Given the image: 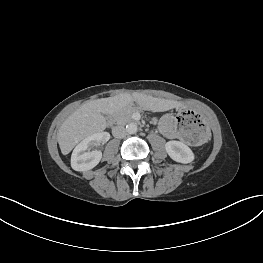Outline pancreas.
<instances>
[{
    "label": "pancreas",
    "mask_w": 263,
    "mask_h": 263,
    "mask_svg": "<svg viewBox=\"0 0 263 263\" xmlns=\"http://www.w3.org/2000/svg\"><path fill=\"white\" fill-rule=\"evenodd\" d=\"M136 110L129 108L126 110H123L121 112H119L118 114H116V122L118 124H126L128 122H130L132 120V114L135 112Z\"/></svg>",
    "instance_id": "obj_1"
}]
</instances>
